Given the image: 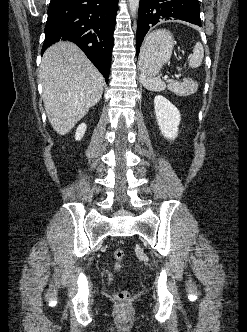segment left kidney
<instances>
[{
  "label": "left kidney",
  "instance_id": "5707ae66",
  "mask_svg": "<svg viewBox=\"0 0 247 332\" xmlns=\"http://www.w3.org/2000/svg\"><path fill=\"white\" fill-rule=\"evenodd\" d=\"M154 108L162 135L167 139L174 140L178 135V126L181 121L179 110L161 95L154 98Z\"/></svg>",
  "mask_w": 247,
  "mask_h": 332
}]
</instances>
